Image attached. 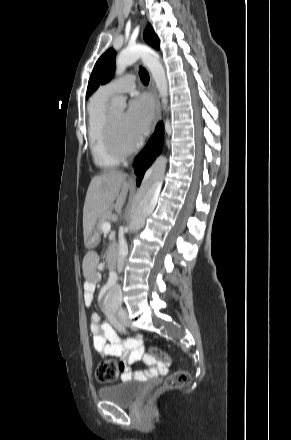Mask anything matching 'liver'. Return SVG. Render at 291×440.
<instances>
[{
    "label": "liver",
    "mask_w": 291,
    "mask_h": 440,
    "mask_svg": "<svg viewBox=\"0 0 291 440\" xmlns=\"http://www.w3.org/2000/svg\"><path fill=\"white\" fill-rule=\"evenodd\" d=\"M130 188V183L126 181V174L120 171H105L92 178L83 208L85 241L93 232L99 217L106 214L111 208L120 213Z\"/></svg>",
    "instance_id": "6515ba94"
}]
</instances>
